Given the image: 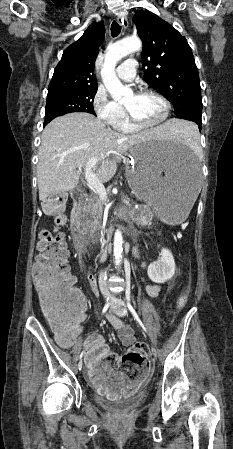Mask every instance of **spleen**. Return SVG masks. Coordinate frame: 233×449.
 Listing matches in <instances>:
<instances>
[{
	"mask_svg": "<svg viewBox=\"0 0 233 449\" xmlns=\"http://www.w3.org/2000/svg\"><path fill=\"white\" fill-rule=\"evenodd\" d=\"M178 138L188 146H192L196 152L199 149L196 124L182 125V131H178Z\"/></svg>",
	"mask_w": 233,
	"mask_h": 449,
	"instance_id": "1",
	"label": "spleen"
}]
</instances>
